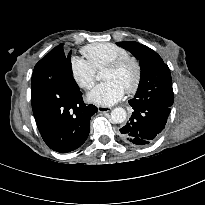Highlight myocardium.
<instances>
[{
  "label": "myocardium",
  "instance_id": "myocardium-1",
  "mask_svg": "<svg viewBox=\"0 0 205 205\" xmlns=\"http://www.w3.org/2000/svg\"><path fill=\"white\" fill-rule=\"evenodd\" d=\"M126 65H132L134 68V79L132 83L125 89L127 93L132 94L138 90L142 80V67L140 62L136 58L131 56L118 58L112 61L111 63L107 64L104 67V70L117 71Z\"/></svg>",
  "mask_w": 205,
  "mask_h": 205
}]
</instances>
